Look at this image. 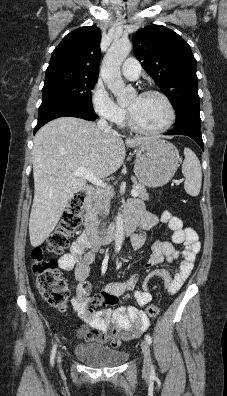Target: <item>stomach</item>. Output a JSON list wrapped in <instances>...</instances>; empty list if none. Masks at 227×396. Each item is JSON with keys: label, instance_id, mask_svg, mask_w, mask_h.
Listing matches in <instances>:
<instances>
[{"label": "stomach", "instance_id": "obj_1", "mask_svg": "<svg viewBox=\"0 0 227 396\" xmlns=\"http://www.w3.org/2000/svg\"><path fill=\"white\" fill-rule=\"evenodd\" d=\"M179 160V152L173 144L153 138L136 149L134 172L141 184L161 187L172 179Z\"/></svg>", "mask_w": 227, "mask_h": 396}]
</instances>
